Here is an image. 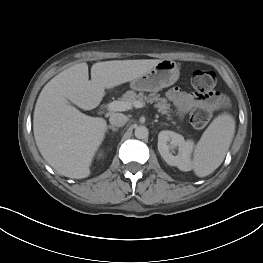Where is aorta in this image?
<instances>
[{
    "mask_svg": "<svg viewBox=\"0 0 263 263\" xmlns=\"http://www.w3.org/2000/svg\"><path fill=\"white\" fill-rule=\"evenodd\" d=\"M148 129L145 126H138L135 128L134 134L138 139H144L148 137Z\"/></svg>",
    "mask_w": 263,
    "mask_h": 263,
    "instance_id": "1",
    "label": "aorta"
}]
</instances>
